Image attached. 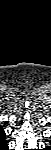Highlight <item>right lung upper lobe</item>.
<instances>
[{
	"label": "right lung upper lobe",
	"instance_id": "cb5924a9",
	"mask_svg": "<svg viewBox=\"0 0 51 150\" xmlns=\"http://www.w3.org/2000/svg\"><path fill=\"white\" fill-rule=\"evenodd\" d=\"M5 142V132L0 128V144Z\"/></svg>",
	"mask_w": 51,
	"mask_h": 150
}]
</instances>
